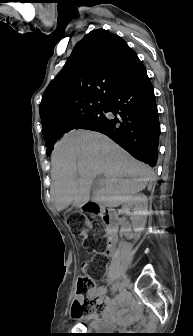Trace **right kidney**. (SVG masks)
<instances>
[{"mask_svg": "<svg viewBox=\"0 0 193 336\" xmlns=\"http://www.w3.org/2000/svg\"><path fill=\"white\" fill-rule=\"evenodd\" d=\"M131 213L132 226L135 231V237L139 238L140 232L144 230L148 215V199L144 194H138L128 197L123 206L122 211L126 214Z\"/></svg>", "mask_w": 193, "mask_h": 336, "instance_id": "right-kidney-1", "label": "right kidney"}]
</instances>
